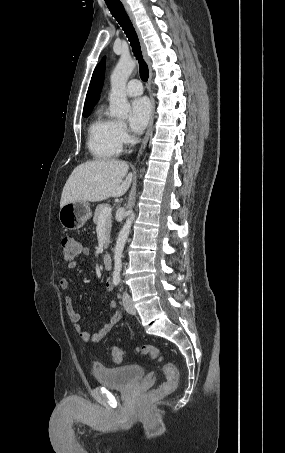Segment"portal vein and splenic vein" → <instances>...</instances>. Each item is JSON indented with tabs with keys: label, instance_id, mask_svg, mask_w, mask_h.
I'll return each mask as SVG.
<instances>
[{
	"label": "portal vein and splenic vein",
	"instance_id": "1",
	"mask_svg": "<svg viewBox=\"0 0 285 453\" xmlns=\"http://www.w3.org/2000/svg\"><path fill=\"white\" fill-rule=\"evenodd\" d=\"M111 215V208L110 207H106L102 210L101 212V215H100V218H107L108 216Z\"/></svg>",
	"mask_w": 285,
	"mask_h": 453
}]
</instances>
